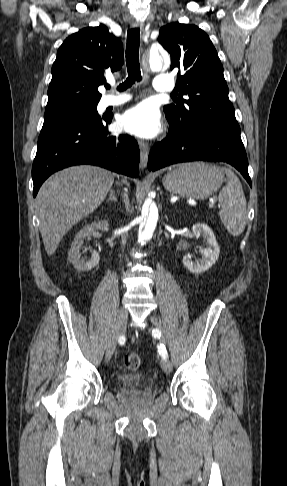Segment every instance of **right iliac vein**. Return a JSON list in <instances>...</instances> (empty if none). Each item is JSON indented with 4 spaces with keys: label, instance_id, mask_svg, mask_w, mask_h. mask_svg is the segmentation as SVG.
<instances>
[{
    "label": "right iliac vein",
    "instance_id": "1",
    "mask_svg": "<svg viewBox=\"0 0 287 486\" xmlns=\"http://www.w3.org/2000/svg\"><path fill=\"white\" fill-rule=\"evenodd\" d=\"M127 319H128V312L126 311L125 308H121L119 310L118 318H117V323L115 325V328L112 332L111 338L109 340L106 354H105V359L106 361H109L115 351L117 341L119 337L124 333L126 324H127Z\"/></svg>",
    "mask_w": 287,
    "mask_h": 486
}]
</instances>
